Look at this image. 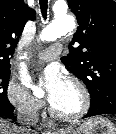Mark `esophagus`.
Wrapping results in <instances>:
<instances>
[{
	"label": "esophagus",
	"instance_id": "1",
	"mask_svg": "<svg viewBox=\"0 0 116 134\" xmlns=\"http://www.w3.org/2000/svg\"><path fill=\"white\" fill-rule=\"evenodd\" d=\"M41 126L42 127H46V128H51V129H54L55 128L53 122L50 121V120H42Z\"/></svg>",
	"mask_w": 116,
	"mask_h": 134
}]
</instances>
